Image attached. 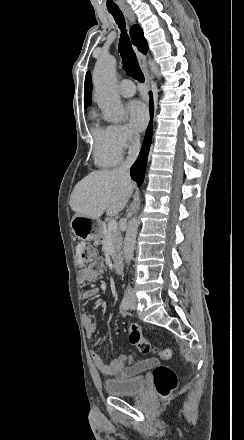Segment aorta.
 <instances>
[{"label":"aorta","mask_w":244,"mask_h":440,"mask_svg":"<svg viewBox=\"0 0 244 440\" xmlns=\"http://www.w3.org/2000/svg\"><path fill=\"white\" fill-rule=\"evenodd\" d=\"M149 65L153 74L158 77L159 70L156 64L150 60ZM93 82L95 86V98L102 110L104 119L114 123L123 121L125 112L117 90L116 61L114 57L104 56L97 61L93 71ZM137 227L138 219L137 217H133L127 225L123 247L124 258L127 265H129L133 259Z\"/></svg>","instance_id":"obj_1"}]
</instances>
